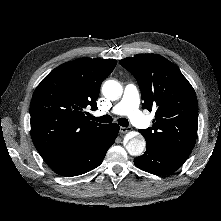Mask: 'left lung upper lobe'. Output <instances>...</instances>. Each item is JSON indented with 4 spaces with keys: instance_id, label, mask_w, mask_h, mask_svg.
Wrapping results in <instances>:
<instances>
[{
    "instance_id": "obj_1",
    "label": "left lung upper lobe",
    "mask_w": 221,
    "mask_h": 221,
    "mask_svg": "<svg viewBox=\"0 0 221 221\" xmlns=\"http://www.w3.org/2000/svg\"><path fill=\"white\" fill-rule=\"evenodd\" d=\"M139 84L143 109L155 110L153 127L139 130L146 146L189 156L197 137L198 102L178 67L157 54H137L119 61Z\"/></svg>"
}]
</instances>
